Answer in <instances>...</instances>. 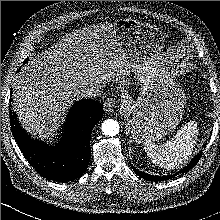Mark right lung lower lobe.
<instances>
[{"label":"right lung lower lobe","instance_id":"98d812e1","mask_svg":"<svg viewBox=\"0 0 220 220\" xmlns=\"http://www.w3.org/2000/svg\"><path fill=\"white\" fill-rule=\"evenodd\" d=\"M9 111L13 136L24 157L40 175L64 182L85 173L91 158L92 129L103 117L101 103L92 99L75 103L68 113L62 139L55 147L32 139L22 129L15 112L11 108Z\"/></svg>","mask_w":220,"mask_h":220}]
</instances>
